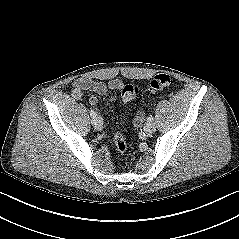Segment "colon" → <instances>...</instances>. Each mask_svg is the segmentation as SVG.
I'll use <instances>...</instances> for the list:
<instances>
[{
  "label": "colon",
  "instance_id": "1",
  "mask_svg": "<svg viewBox=\"0 0 239 239\" xmlns=\"http://www.w3.org/2000/svg\"><path fill=\"white\" fill-rule=\"evenodd\" d=\"M170 82L171 79L169 75L160 73L154 76L150 81L148 86V92L154 94L169 86ZM139 93H140L139 88L132 84L124 85L121 90L122 99L124 101H131L135 99L139 95ZM113 141L117 151L121 155H125L128 151V146L124 135L120 132H117L113 137Z\"/></svg>",
  "mask_w": 239,
  "mask_h": 239
}]
</instances>
